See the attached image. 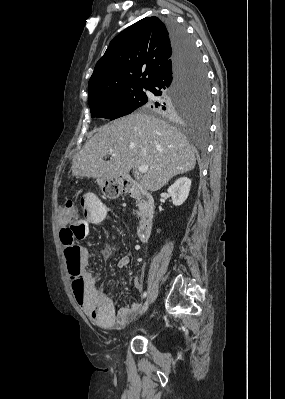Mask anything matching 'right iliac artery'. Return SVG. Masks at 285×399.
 Returning a JSON list of instances; mask_svg holds the SVG:
<instances>
[{"label":"right iliac artery","instance_id":"right-iliac-artery-1","mask_svg":"<svg viewBox=\"0 0 285 399\" xmlns=\"http://www.w3.org/2000/svg\"><path fill=\"white\" fill-rule=\"evenodd\" d=\"M147 295H148V292H147V291H144V293H143V295H142V299H145V298L147 297Z\"/></svg>","mask_w":285,"mask_h":399}]
</instances>
